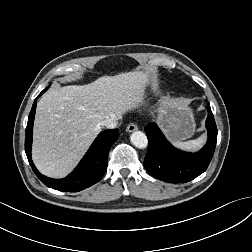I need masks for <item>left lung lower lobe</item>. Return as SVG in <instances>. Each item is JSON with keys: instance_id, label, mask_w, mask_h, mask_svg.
I'll list each match as a JSON object with an SVG mask.
<instances>
[{"instance_id": "0a47b994", "label": "left lung lower lobe", "mask_w": 252, "mask_h": 252, "mask_svg": "<svg viewBox=\"0 0 252 252\" xmlns=\"http://www.w3.org/2000/svg\"><path fill=\"white\" fill-rule=\"evenodd\" d=\"M206 145L196 153H187L174 148L155 123L145 127L148 137V152L144 167L153 177L170 183L189 182L202 174L214 154L217 141V127L208 104Z\"/></svg>"}]
</instances>
